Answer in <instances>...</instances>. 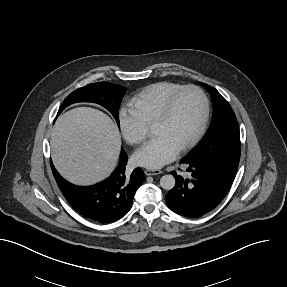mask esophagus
I'll return each mask as SVG.
<instances>
[{
	"instance_id": "34e87169",
	"label": "esophagus",
	"mask_w": 287,
	"mask_h": 287,
	"mask_svg": "<svg viewBox=\"0 0 287 287\" xmlns=\"http://www.w3.org/2000/svg\"><path fill=\"white\" fill-rule=\"evenodd\" d=\"M145 175L147 176H152V175H158V174H161L162 171L159 170V169H146L144 171Z\"/></svg>"
}]
</instances>
